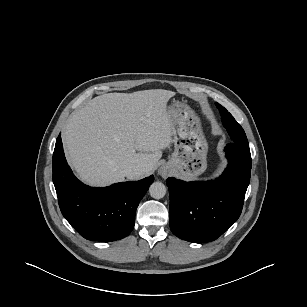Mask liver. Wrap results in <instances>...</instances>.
I'll use <instances>...</instances> for the list:
<instances>
[{
  "instance_id": "liver-1",
  "label": "liver",
  "mask_w": 307,
  "mask_h": 307,
  "mask_svg": "<svg viewBox=\"0 0 307 307\" xmlns=\"http://www.w3.org/2000/svg\"><path fill=\"white\" fill-rule=\"evenodd\" d=\"M174 95L163 89L108 93L77 110L62 141L79 178L91 186H107L124 181L129 168L143 170L129 179L150 175L173 142L167 102Z\"/></svg>"
}]
</instances>
